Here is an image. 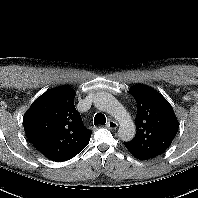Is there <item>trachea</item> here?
Segmentation results:
<instances>
[{
    "instance_id": "3493384b",
    "label": "trachea",
    "mask_w": 198,
    "mask_h": 198,
    "mask_svg": "<svg viewBox=\"0 0 198 198\" xmlns=\"http://www.w3.org/2000/svg\"><path fill=\"white\" fill-rule=\"evenodd\" d=\"M106 123L105 115L102 113H97L94 117V125H103Z\"/></svg>"
}]
</instances>
